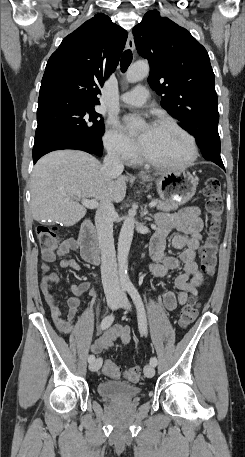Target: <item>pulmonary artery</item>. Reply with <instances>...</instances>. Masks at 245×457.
<instances>
[{"label":"pulmonary artery","instance_id":"1","mask_svg":"<svg viewBox=\"0 0 245 457\" xmlns=\"http://www.w3.org/2000/svg\"><path fill=\"white\" fill-rule=\"evenodd\" d=\"M149 96L148 86H135L133 91L122 94L119 100L123 104L141 106L147 102Z\"/></svg>","mask_w":245,"mask_h":457}]
</instances>
